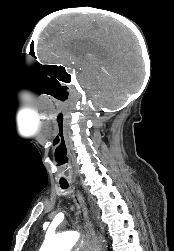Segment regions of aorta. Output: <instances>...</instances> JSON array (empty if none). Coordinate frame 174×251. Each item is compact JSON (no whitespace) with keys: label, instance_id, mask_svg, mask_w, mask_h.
<instances>
[{"label":"aorta","instance_id":"1","mask_svg":"<svg viewBox=\"0 0 174 251\" xmlns=\"http://www.w3.org/2000/svg\"><path fill=\"white\" fill-rule=\"evenodd\" d=\"M78 239L79 235L75 231L57 234L45 240L39 251H70Z\"/></svg>","mask_w":174,"mask_h":251}]
</instances>
